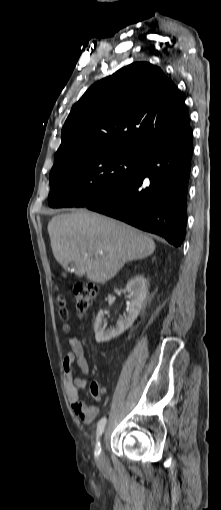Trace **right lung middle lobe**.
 I'll return each instance as SVG.
<instances>
[{"instance_id":"right-lung-middle-lobe-1","label":"right lung middle lobe","mask_w":221,"mask_h":510,"mask_svg":"<svg viewBox=\"0 0 221 510\" xmlns=\"http://www.w3.org/2000/svg\"><path fill=\"white\" fill-rule=\"evenodd\" d=\"M143 149L104 147L73 154L50 173V207H83L112 193L139 170Z\"/></svg>"}]
</instances>
